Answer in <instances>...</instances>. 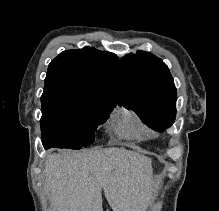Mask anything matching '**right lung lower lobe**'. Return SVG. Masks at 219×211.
<instances>
[{"instance_id": "obj_1", "label": "right lung lower lobe", "mask_w": 219, "mask_h": 211, "mask_svg": "<svg viewBox=\"0 0 219 211\" xmlns=\"http://www.w3.org/2000/svg\"><path fill=\"white\" fill-rule=\"evenodd\" d=\"M43 146H44V145H43ZM44 148H45V149H49V147H47V146H44Z\"/></svg>"}]
</instances>
